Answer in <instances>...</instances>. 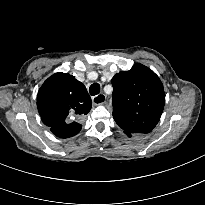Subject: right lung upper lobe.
<instances>
[{
    "instance_id": "cb5924a9",
    "label": "right lung upper lobe",
    "mask_w": 205,
    "mask_h": 205,
    "mask_svg": "<svg viewBox=\"0 0 205 205\" xmlns=\"http://www.w3.org/2000/svg\"><path fill=\"white\" fill-rule=\"evenodd\" d=\"M91 105L84 84L67 73L58 72L49 77L37 95L43 123L60 138H69L80 132L82 126L75 120L86 115Z\"/></svg>"
}]
</instances>
